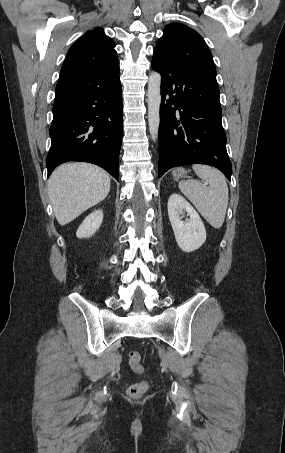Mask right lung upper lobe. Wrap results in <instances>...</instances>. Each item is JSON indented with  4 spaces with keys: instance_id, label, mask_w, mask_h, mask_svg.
<instances>
[{
    "instance_id": "1",
    "label": "right lung upper lobe",
    "mask_w": 285,
    "mask_h": 453,
    "mask_svg": "<svg viewBox=\"0 0 285 453\" xmlns=\"http://www.w3.org/2000/svg\"><path fill=\"white\" fill-rule=\"evenodd\" d=\"M115 44L101 27L86 32L69 49L61 72H109L119 68Z\"/></svg>"
}]
</instances>
